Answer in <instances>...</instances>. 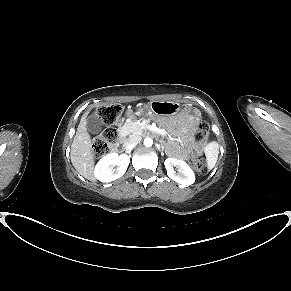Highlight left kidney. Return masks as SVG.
Here are the masks:
<instances>
[{"label":"left kidney","instance_id":"obj_1","mask_svg":"<svg viewBox=\"0 0 291 291\" xmlns=\"http://www.w3.org/2000/svg\"><path fill=\"white\" fill-rule=\"evenodd\" d=\"M167 175L170 179L181 185H191L195 182V174L189 165L183 160L175 158H167L164 162ZM174 167L178 169V173L174 171Z\"/></svg>","mask_w":291,"mask_h":291}]
</instances>
